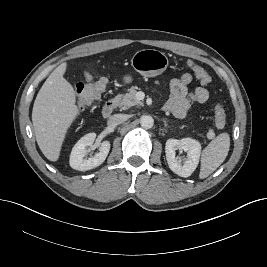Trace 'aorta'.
Instances as JSON below:
<instances>
[{
	"label": "aorta",
	"mask_w": 267,
	"mask_h": 267,
	"mask_svg": "<svg viewBox=\"0 0 267 267\" xmlns=\"http://www.w3.org/2000/svg\"><path fill=\"white\" fill-rule=\"evenodd\" d=\"M140 124L143 128L145 129H150L154 125V120L151 116L149 115H144L140 119Z\"/></svg>",
	"instance_id": "obj_1"
}]
</instances>
